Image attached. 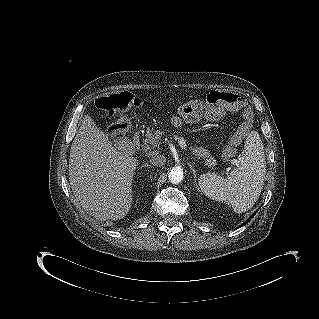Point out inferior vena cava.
Wrapping results in <instances>:
<instances>
[{"label": "inferior vena cava", "instance_id": "inferior-vena-cava-1", "mask_svg": "<svg viewBox=\"0 0 319 319\" xmlns=\"http://www.w3.org/2000/svg\"><path fill=\"white\" fill-rule=\"evenodd\" d=\"M166 162V158L158 152H152L150 155V163L154 166H163Z\"/></svg>", "mask_w": 319, "mask_h": 319}]
</instances>
